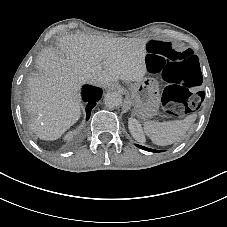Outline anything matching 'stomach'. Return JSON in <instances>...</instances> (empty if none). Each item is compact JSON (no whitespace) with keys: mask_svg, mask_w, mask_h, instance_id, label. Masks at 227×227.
Listing matches in <instances>:
<instances>
[{"mask_svg":"<svg viewBox=\"0 0 227 227\" xmlns=\"http://www.w3.org/2000/svg\"><path fill=\"white\" fill-rule=\"evenodd\" d=\"M135 114L141 118L151 119L160 108V94L157 83L152 78H144L129 87Z\"/></svg>","mask_w":227,"mask_h":227,"instance_id":"obj_1","label":"stomach"}]
</instances>
